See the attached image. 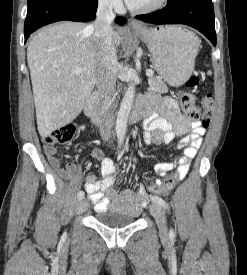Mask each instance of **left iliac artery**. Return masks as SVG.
Wrapping results in <instances>:
<instances>
[{"mask_svg":"<svg viewBox=\"0 0 247 275\" xmlns=\"http://www.w3.org/2000/svg\"><path fill=\"white\" fill-rule=\"evenodd\" d=\"M151 200H152L153 202L159 204L160 206H162V207H164V208H167V205H166L165 201H164L161 197H159V196H153V197L151 198ZM170 233L173 234V231L171 230Z\"/></svg>","mask_w":247,"mask_h":275,"instance_id":"44dca946","label":"left iliac artery"}]
</instances>
